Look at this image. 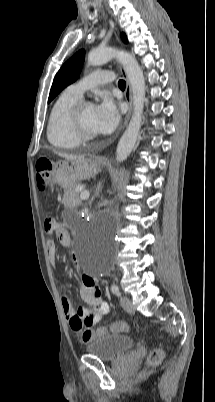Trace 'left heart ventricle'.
Wrapping results in <instances>:
<instances>
[{
  "label": "left heart ventricle",
  "mask_w": 215,
  "mask_h": 402,
  "mask_svg": "<svg viewBox=\"0 0 215 402\" xmlns=\"http://www.w3.org/2000/svg\"><path fill=\"white\" fill-rule=\"evenodd\" d=\"M94 112L95 107L92 104L85 105L81 112V122L87 132L96 134L93 127Z\"/></svg>",
  "instance_id": "b2bd125f"
}]
</instances>
